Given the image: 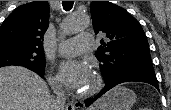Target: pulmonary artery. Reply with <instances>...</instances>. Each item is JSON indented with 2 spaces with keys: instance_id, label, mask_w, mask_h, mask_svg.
Returning <instances> with one entry per match:
<instances>
[{
  "instance_id": "1",
  "label": "pulmonary artery",
  "mask_w": 171,
  "mask_h": 110,
  "mask_svg": "<svg viewBox=\"0 0 171 110\" xmlns=\"http://www.w3.org/2000/svg\"><path fill=\"white\" fill-rule=\"evenodd\" d=\"M94 43L91 33H81L78 36L62 42L58 47V52L64 56H75L83 53L92 47Z\"/></svg>"
}]
</instances>
